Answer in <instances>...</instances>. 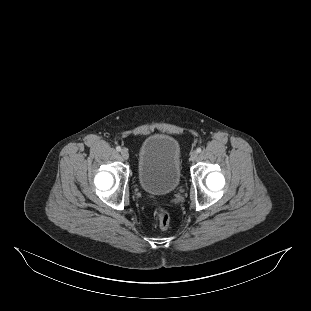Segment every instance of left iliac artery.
<instances>
[{
  "instance_id": "left-iliac-artery-1",
  "label": "left iliac artery",
  "mask_w": 311,
  "mask_h": 311,
  "mask_svg": "<svg viewBox=\"0 0 311 311\" xmlns=\"http://www.w3.org/2000/svg\"><path fill=\"white\" fill-rule=\"evenodd\" d=\"M201 151H202V149L200 147L196 149L197 153H200Z\"/></svg>"
}]
</instances>
